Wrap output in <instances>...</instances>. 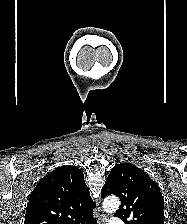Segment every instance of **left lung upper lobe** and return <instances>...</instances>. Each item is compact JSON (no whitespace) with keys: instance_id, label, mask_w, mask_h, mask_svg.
<instances>
[{"instance_id":"5c2ea615","label":"left lung upper lobe","mask_w":187,"mask_h":224,"mask_svg":"<svg viewBox=\"0 0 187 224\" xmlns=\"http://www.w3.org/2000/svg\"><path fill=\"white\" fill-rule=\"evenodd\" d=\"M115 194L121 206L115 216L125 224H164V200L158 185L140 168L122 163L114 166L101 196Z\"/></svg>"}]
</instances>
